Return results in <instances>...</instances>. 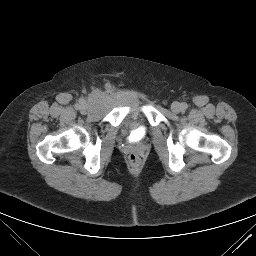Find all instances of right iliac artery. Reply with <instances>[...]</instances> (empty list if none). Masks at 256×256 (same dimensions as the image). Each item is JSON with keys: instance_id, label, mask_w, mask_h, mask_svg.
Here are the masks:
<instances>
[{"instance_id": "right-iliac-artery-1", "label": "right iliac artery", "mask_w": 256, "mask_h": 256, "mask_svg": "<svg viewBox=\"0 0 256 256\" xmlns=\"http://www.w3.org/2000/svg\"><path fill=\"white\" fill-rule=\"evenodd\" d=\"M83 99H81L80 100V103L79 104H76L75 106H76V109H80L81 108V103H83Z\"/></svg>"}]
</instances>
